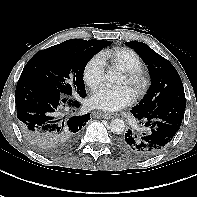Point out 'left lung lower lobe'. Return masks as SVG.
Listing matches in <instances>:
<instances>
[{
  "mask_svg": "<svg viewBox=\"0 0 197 197\" xmlns=\"http://www.w3.org/2000/svg\"><path fill=\"white\" fill-rule=\"evenodd\" d=\"M186 100L164 102L146 114L135 113L143 127V133L128 130L119 140V147L136 158H150L163 151L173 140L179 130Z\"/></svg>",
  "mask_w": 197,
  "mask_h": 197,
  "instance_id": "left-lung-lower-lobe-1",
  "label": "left lung lower lobe"
}]
</instances>
